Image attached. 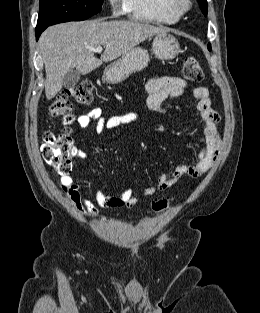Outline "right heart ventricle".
<instances>
[{
    "mask_svg": "<svg viewBox=\"0 0 260 313\" xmlns=\"http://www.w3.org/2000/svg\"><path fill=\"white\" fill-rule=\"evenodd\" d=\"M124 11L131 19L155 24H174L179 16L170 11L165 0H123Z\"/></svg>",
    "mask_w": 260,
    "mask_h": 313,
    "instance_id": "obj_1",
    "label": "right heart ventricle"
}]
</instances>
